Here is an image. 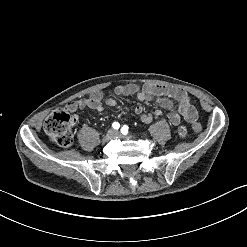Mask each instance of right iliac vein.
<instances>
[{
  "mask_svg": "<svg viewBox=\"0 0 247 247\" xmlns=\"http://www.w3.org/2000/svg\"><path fill=\"white\" fill-rule=\"evenodd\" d=\"M116 136V131L113 129H110L107 131L106 135L104 136L103 140L108 141Z\"/></svg>",
  "mask_w": 247,
  "mask_h": 247,
  "instance_id": "right-iliac-vein-1",
  "label": "right iliac vein"
}]
</instances>
